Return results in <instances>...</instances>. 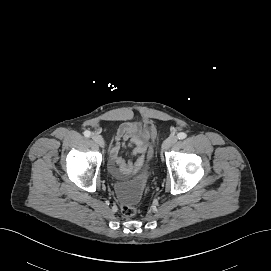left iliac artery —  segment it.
I'll list each match as a JSON object with an SVG mask.
<instances>
[{"label":"left iliac artery","instance_id":"left-iliac-artery-1","mask_svg":"<svg viewBox=\"0 0 271 271\" xmlns=\"http://www.w3.org/2000/svg\"><path fill=\"white\" fill-rule=\"evenodd\" d=\"M178 139H185L187 137V134L184 132H180L177 134Z\"/></svg>","mask_w":271,"mask_h":271}]
</instances>
